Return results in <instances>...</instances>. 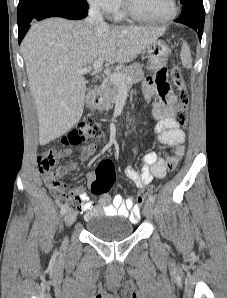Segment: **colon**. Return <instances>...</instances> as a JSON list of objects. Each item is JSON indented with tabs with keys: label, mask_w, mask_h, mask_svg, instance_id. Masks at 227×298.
Returning a JSON list of instances; mask_svg holds the SVG:
<instances>
[{
	"label": "colon",
	"mask_w": 227,
	"mask_h": 298,
	"mask_svg": "<svg viewBox=\"0 0 227 298\" xmlns=\"http://www.w3.org/2000/svg\"><path fill=\"white\" fill-rule=\"evenodd\" d=\"M170 78L172 82L180 90V108L174 115L176 122L179 126H185L188 122L189 113H188V104H189V95L185 91L183 86V79L180 72V69L177 66H173L169 71ZM105 135L100 124L94 119H87L86 121L77 125L69 133L62 137V144L64 146H76L81 145L92 138H101ZM95 177L91 181V191L95 195H102L107 193L115 181V170L113 163L110 160L101 161L96 170ZM52 185L55 186L56 182L53 181ZM155 190L154 186H146L136 198L137 204L140 205L147 195L153 193ZM55 196L59 199H72L71 196L63 194L56 190Z\"/></svg>",
	"instance_id": "colon-1"
}]
</instances>
